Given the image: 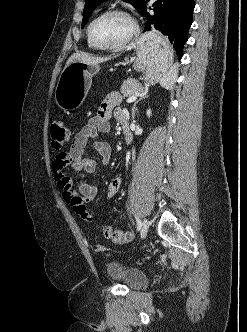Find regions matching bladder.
Listing matches in <instances>:
<instances>
[{
	"mask_svg": "<svg viewBox=\"0 0 247 332\" xmlns=\"http://www.w3.org/2000/svg\"><path fill=\"white\" fill-rule=\"evenodd\" d=\"M108 277L129 289H141L146 286L148 280L146 275L136 268H130L117 261L108 262L106 265Z\"/></svg>",
	"mask_w": 247,
	"mask_h": 332,
	"instance_id": "1",
	"label": "bladder"
}]
</instances>
